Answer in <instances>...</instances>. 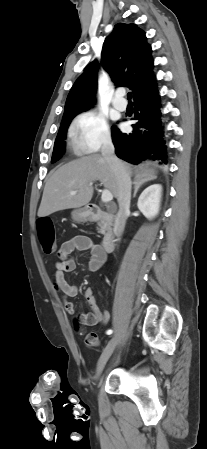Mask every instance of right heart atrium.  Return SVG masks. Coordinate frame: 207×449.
Masks as SVG:
<instances>
[{
	"mask_svg": "<svg viewBox=\"0 0 207 449\" xmlns=\"http://www.w3.org/2000/svg\"><path fill=\"white\" fill-rule=\"evenodd\" d=\"M72 131L77 147L85 153L97 152L111 141L106 119L93 110L80 113L74 119Z\"/></svg>",
	"mask_w": 207,
	"mask_h": 449,
	"instance_id": "obj_1",
	"label": "right heart atrium"
}]
</instances>
